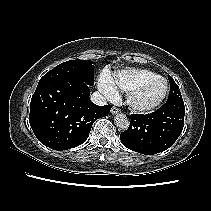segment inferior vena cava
I'll return each mask as SVG.
<instances>
[{
    "instance_id": "inferior-vena-cava-1",
    "label": "inferior vena cava",
    "mask_w": 211,
    "mask_h": 211,
    "mask_svg": "<svg viewBox=\"0 0 211 211\" xmlns=\"http://www.w3.org/2000/svg\"><path fill=\"white\" fill-rule=\"evenodd\" d=\"M90 99L94 104L99 105V106H103L107 104L106 97L98 91L92 93L90 96Z\"/></svg>"
}]
</instances>
